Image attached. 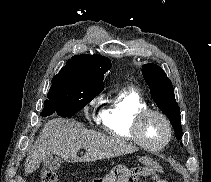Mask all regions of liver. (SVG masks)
Returning a JSON list of instances; mask_svg holds the SVG:
<instances>
[{"label": "liver", "instance_id": "1", "mask_svg": "<svg viewBox=\"0 0 211 182\" xmlns=\"http://www.w3.org/2000/svg\"><path fill=\"white\" fill-rule=\"evenodd\" d=\"M84 148L85 155L77 156ZM137 151L122 139L88 130L75 120L56 118L48 121L35 141L25 162V175L36 171L46 157L58 155L68 162H91Z\"/></svg>", "mask_w": 211, "mask_h": 182}]
</instances>
